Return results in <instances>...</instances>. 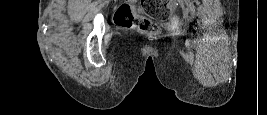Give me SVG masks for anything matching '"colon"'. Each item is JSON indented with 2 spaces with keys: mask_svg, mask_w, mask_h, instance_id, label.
<instances>
[{
  "mask_svg": "<svg viewBox=\"0 0 267 115\" xmlns=\"http://www.w3.org/2000/svg\"><path fill=\"white\" fill-rule=\"evenodd\" d=\"M174 0H142L145 12L155 21L139 16L130 2L123 3L116 12V22L123 27H136L147 35H156L160 31L158 22H165L170 17Z\"/></svg>",
  "mask_w": 267,
  "mask_h": 115,
  "instance_id": "1",
  "label": "colon"
}]
</instances>
